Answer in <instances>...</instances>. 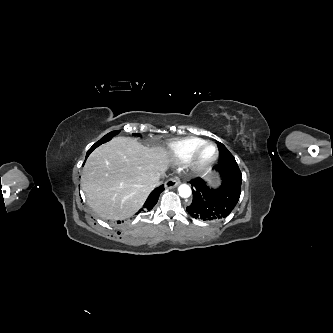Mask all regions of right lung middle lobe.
<instances>
[{"label":"right lung middle lobe","mask_w":333,"mask_h":333,"mask_svg":"<svg viewBox=\"0 0 333 333\" xmlns=\"http://www.w3.org/2000/svg\"><path fill=\"white\" fill-rule=\"evenodd\" d=\"M118 133H119V131H112V132L108 133L102 139H100L97 143H95V147L101 145L102 143L109 141L113 136H115ZM133 135L138 136L139 134H133Z\"/></svg>","instance_id":"dd1d6c3e"}]
</instances>
